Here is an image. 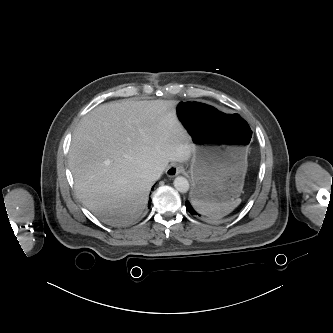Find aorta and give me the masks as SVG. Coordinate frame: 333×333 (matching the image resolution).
<instances>
[{
    "mask_svg": "<svg viewBox=\"0 0 333 333\" xmlns=\"http://www.w3.org/2000/svg\"><path fill=\"white\" fill-rule=\"evenodd\" d=\"M173 183L176 190L181 193H186L189 190V182L185 177L177 176Z\"/></svg>",
    "mask_w": 333,
    "mask_h": 333,
    "instance_id": "1",
    "label": "aorta"
}]
</instances>
